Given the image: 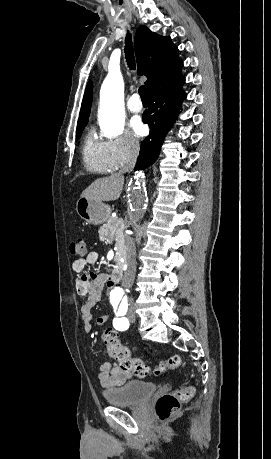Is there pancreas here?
<instances>
[{"label":"pancreas","mask_w":271,"mask_h":459,"mask_svg":"<svg viewBox=\"0 0 271 459\" xmlns=\"http://www.w3.org/2000/svg\"><path fill=\"white\" fill-rule=\"evenodd\" d=\"M124 228L125 224L122 218H109L108 224H104V226H101V228L99 229V233L100 235H103V237H108L111 243L115 242V239L111 238L113 237V235H115L117 239L116 245L120 249V247H123L125 241V233H123Z\"/></svg>","instance_id":"1"}]
</instances>
